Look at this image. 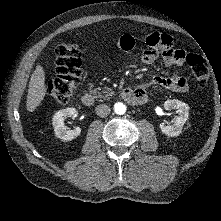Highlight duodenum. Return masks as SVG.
<instances>
[{"label":"duodenum","instance_id":"1","mask_svg":"<svg viewBox=\"0 0 221 221\" xmlns=\"http://www.w3.org/2000/svg\"><path fill=\"white\" fill-rule=\"evenodd\" d=\"M121 96L130 104H141L144 101L136 90L129 87H126L121 91ZM80 101L86 107H92L95 104L94 96L87 92L81 95Z\"/></svg>","mask_w":221,"mask_h":221}]
</instances>
